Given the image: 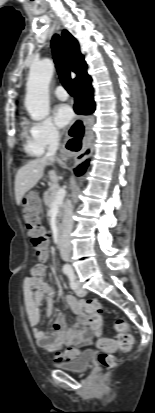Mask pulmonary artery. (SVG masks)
<instances>
[{
  "instance_id": "e3ab8cb5",
  "label": "pulmonary artery",
  "mask_w": 155,
  "mask_h": 413,
  "mask_svg": "<svg viewBox=\"0 0 155 413\" xmlns=\"http://www.w3.org/2000/svg\"><path fill=\"white\" fill-rule=\"evenodd\" d=\"M54 93H55V96H56L59 100L65 101V100H67V98H68V93H67V91L64 89V87H62V86H58V87L55 89Z\"/></svg>"
}]
</instances>
